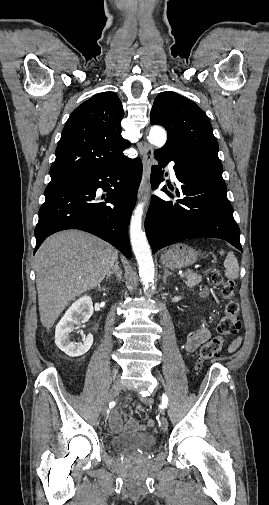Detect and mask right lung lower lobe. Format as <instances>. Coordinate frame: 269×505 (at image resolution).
<instances>
[{"mask_svg":"<svg viewBox=\"0 0 269 505\" xmlns=\"http://www.w3.org/2000/svg\"><path fill=\"white\" fill-rule=\"evenodd\" d=\"M141 177L140 159L123 157L76 179L48 185L35 229L34 254L51 234L80 229L109 242L130 259L126 230ZM98 188L108 192L105 202L101 201L104 196H96Z\"/></svg>","mask_w":269,"mask_h":505,"instance_id":"98d812e1","label":"right lung lower lobe"}]
</instances>
